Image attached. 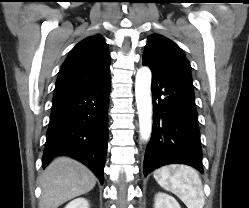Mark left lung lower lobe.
<instances>
[{
	"label": "left lung lower lobe",
	"mask_w": 249,
	"mask_h": 208,
	"mask_svg": "<svg viewBox=\"0 0 249 208\" xmlns=\"http://www.w3.org/2000/svg\"><path fill=\"white\" fill-rule=\"evenodd\" d=\"M150 69L154 114L152 136L144 156V175L173 163L190 165L202 173L193 86L177 76Z\"/></svg>",
	"instance_id": "0a47b994"
}]
</instances>
